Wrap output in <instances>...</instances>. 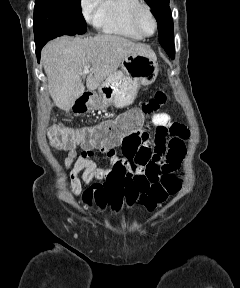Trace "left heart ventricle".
<instances>
[{
    "instance_id": "left-heart-ventricle-1",
    "label": "left heart ventricle",
    "mask_w": 240,
    "mask_h": 288,
    "mask_svg": "<svg viewBox=\"0 0 240 288\" xmlns=\"http://www.w3.org/2000/svg\"><path fill=\"white\" fill-rule=\"evenodd\" d=\"M138 26L140 31L145 35H150L154 31V22L150 14L143 10L138 16Z\"/></svg>"
}]
</instances>
